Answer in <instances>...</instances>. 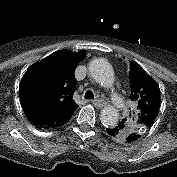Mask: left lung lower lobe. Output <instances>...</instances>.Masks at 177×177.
Segmentation results:
<instances>
[{
  "instance_id": "0a47b994",
  "label": "left lung lower lobe",
  "mask_w": 177,
  "mask_h": 177,
  "mask_svg": "<svg viewBox=\"0 0 177 177\" xmlns=\"http://www.w3.org/2000/svg\"><path fill=\"white\" fill-rule=\"evenodd\" d=\"M106 131H107V134L113 139H115L120 133L119 128L117 126L110 127L108 129H106ZM140 137L141 136L137 133H130L125 136L123 141L126 143H132V142L138 140Z\"/></svg>"
}]
</instances>
